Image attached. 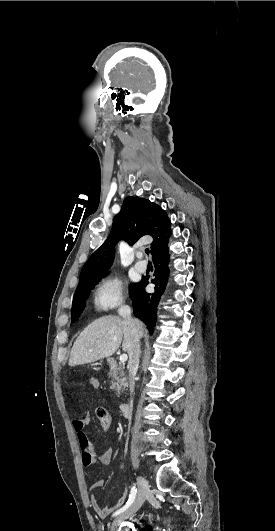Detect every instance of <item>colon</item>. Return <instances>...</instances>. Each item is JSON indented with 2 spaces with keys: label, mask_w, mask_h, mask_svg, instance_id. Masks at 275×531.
<instances>
[{
  "label": "colon",
  "mask_w": 275,
  "mask_h": 531,
  "mask_svg": "<svg viewBox=\"0 0 275 531\" xmlns=\"http://www.w3.org/2000/svg\"><path fill=\"white\" fill-rule=\"evenodd\" d=\"M97 419L103 429H108L111 426V417L104 408L97 409Z\"/></svg>",
  "instance_id": "colon-1"
}]
</instances>
